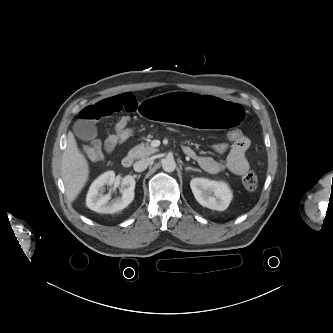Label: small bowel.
<instances>
[{"instance_id": "c3829d8e", "label": "small bowel", "mask_w": 333, "mask_h": 333, "mask_svg": "<svg viewBox=\"0 0 333 333\" xmlns=\"http://www.w3.org/2000/svg\"><path fill=\"white\" fill-rule=\"evenodd\" d=\"M138 103L135 96L131 93H123L102 99L94 104L87 105L79 111V118L84 124H90L97 120L110 116L116 112L126 111L135 112L137 110ZM130 122L129 116H123L116 124V128L122 127ZM87 148L104 149L106 152H112L119 141L116 134L108 136L104 144L94 137H88ZM250 147V141L247 137H243L238 141L232 142L229 147V152L225 161V164L215 160L214 158L206 155H197L195 151L186 146L184 147L185 154L196 160L200 167L208 173L217 174L223 169H228L236 175H244L249 169V163L246 158V152ZM227 148L226 145L219 144L215 146L217 151H224Z\"/></svg>"}]
</instances>
